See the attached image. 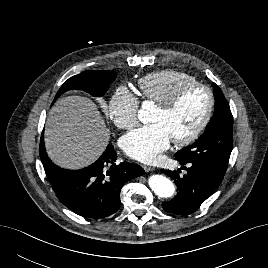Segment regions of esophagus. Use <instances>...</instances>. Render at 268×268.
Instances as JSON below:
<instances>
[{
  "label": "esophagus",
  "instance_id": "34e87169",
  "mask_svg": "<svg viewBox=\"0 0 268 268\" xmlns=\"http://www.w3.org/2000/svg\"><path fill=\"white\" fill-rule=\"evenodd\" d=\"M143 169H144L146 172H151V171H153V170H154V168H153V167L148 166V165H143Z\"/></svg>",
  "mask_w": 268,
  "mask_h": 268
}]
</instances>
